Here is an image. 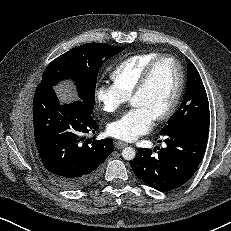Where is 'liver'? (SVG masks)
Segmentation results:
<instances>
[{
    "label": "liver",
    "instance_id": "obj_1",
    "mask_svg": "<svg viewBox=\"0 0 231 231\" xmlns=\"http://www.w3.org/2000/svg\"><path fill=\"white\" fill-rule=\"evenodd\" d=\"M56 92L61 103L77 100L76 93L72 90V87L69 84L57 86Z\"/></svg>",
    "mask_w": 231,
    "mask_h": 231
}]
</instances>
